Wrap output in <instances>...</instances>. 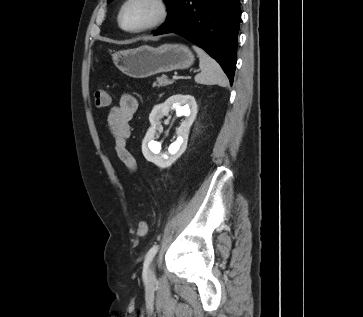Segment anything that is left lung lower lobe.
Wrapping results in <instances>:
<instances>
[{
	"mask_svg": "<svg viewBox=\"0 0 363 317\" xmlns=\"http://www.w3.org/2000/svg\"><path fill=\"white\" fill-rule=\"evenodd\" d=\"M240 0H172L166 22L153 35L179 34L206 50L233 83Z\"/></svg>",
	"mask_w": 363,
	"mask_h": 317,
	"instance_id": "0a47b994",
	"label": "left lung lower lobe"
}]
</instances>
